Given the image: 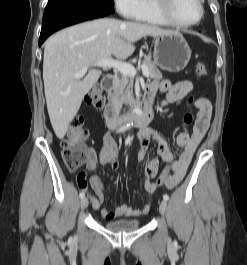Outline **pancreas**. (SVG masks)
<instances>
[{
	"label": "pancreas",
	"instance_id": "pancreas-1",
	"mask_svg": "<svg viewBox=\"0 0 247 265\" xmlns=\"http://www.w3.org/2000/svg\"><path fill=\"white\" fill-rule=\"evenodd\" d=\"M142 65L147 67L149 78L155 80L162 79L161 71L149 59L143 60ZM133 82L132 76L122 75L115 78L110 102L116 110H120L123 104H131L134 101Z\"/></svg>",
	"mask_w": 247,
	"mask_h": 265
}]
</instances>
